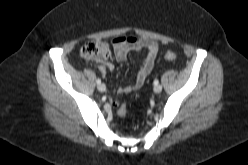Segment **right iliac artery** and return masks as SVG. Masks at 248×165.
I'll list each match as a JSON object with an SVG mask.
<instances>
[{
  "mask_svg": "<svg viewBox=\"0 0 248 165\" xmlns=\"http://www.w3.org/2000/svg\"><path fill=\"white\" fill-rule=\"evenodd\" d=\"M96 83H97V84H100V83H101V80H100V79H97V80H96Z\"/></svg>",
  "mask_w": 248,
  "mask_h": 165,
  "instance_id": "1",
  "label": "right iliac artery"
}]
</instances>
